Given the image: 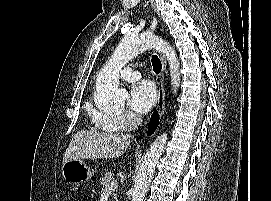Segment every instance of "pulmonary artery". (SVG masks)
I'll list each match as a JSON object with an SVG mask.
<instances>
[{
  "instance_id": "obj_1",
  "label": "pulmonary artery",
  "mask_w": 271,
  "mask_h": 201,
  "mask_svg": "<svg viewBox=\"0 0 271 201\" xmlns=\"http://www.w3.org/2000/svg\"><path fill=\"white\" fill-rule=\"evenodd\" d=\"M120 76L126 81L133 82L141 78V73L135 68L126 67L121 71Z\"/></svg>"
}]
</instances>
